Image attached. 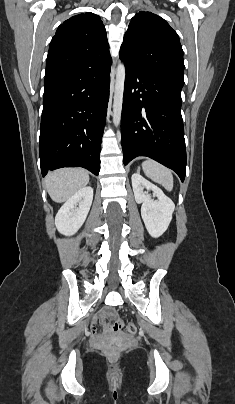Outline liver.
I'll use <instances>...</instances> for the list:
<instances>
[{
  "label": "liver",
  "mask_w": 235,
  "mask_h": 404,
  "mask_svg": "<svg viewBox=\"0 0 235 404\" xmlns=\"http://www.w3.org/2000/svg\"><path fill=\"white\" fill-rule=\"evenodd\" d=\"M89 183V174L82 168H62L45 177V187L54 202L62 203Z\"/></svg>",
  "instance_id": "6515ba94"
}]
</instances>
